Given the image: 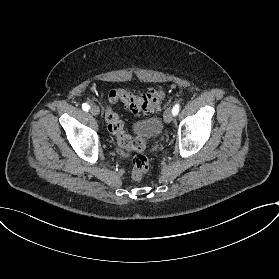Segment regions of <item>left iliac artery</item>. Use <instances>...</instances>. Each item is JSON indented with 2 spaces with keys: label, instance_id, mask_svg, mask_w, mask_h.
Masks as SVG:
<instances>
[{
  "label": "left iliac artery",
  "instance_id": "obj_1",
  "mask_svg": "<svg viewBox=\"0 0 279 279\" xmlns=\"http://www.w3.org/2000/svg\"><path fill=\"white\" fill-rule=\"evenodd\" d=\"M179 110H180V105H179V104H176V105L173 107V109H172V114H173L174 116L178 115Z\"/></svg>",
  "mask_w": 279,
  "mask_h": 279
}]
</instances>
